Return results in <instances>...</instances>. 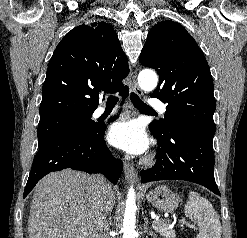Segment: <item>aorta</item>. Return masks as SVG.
I'll use <instances>...</instances> for the list:
<instances>
[{
    "instance_id": "aorta-1",
    "label": "aorta",
    "mask_w": 247,
    "mask_h": 238,
    "mask_svg": "<svg viewBox=\"0 0 247 238\" xmlns=\"http://www.w3.org/2000/svg\"><path fill=\"white\" fill-rule=\"evenodd\" d=\"M138 83L144 91H152L157 86L158 78L155 72L143 70L138 76ZM136 209L135 192L131 186L128 191L124 212L123 238H134L135 236Z\"/></svg>"
}]
</instances>
